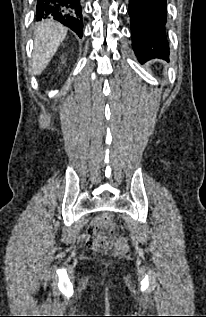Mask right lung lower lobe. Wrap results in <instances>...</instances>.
<instances>
[{
    "label": "right lung lower lobe",
    "instance_id": "1",
    "mask_svg": "<svg viewBox=\"0 0 206 317\" xmlns=\"http://www.w3.org/2000/svg\"><path fill=\"white\" fill-rule=\"evenodd\" d=\"M51 16L82 37L83 21L80 0H38L36 20Z\"/></svg>",
    "mask_w": 206,
    "mask_h": 317
}]
</instances>
